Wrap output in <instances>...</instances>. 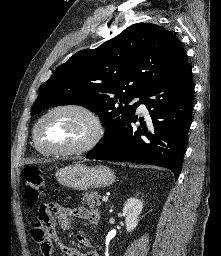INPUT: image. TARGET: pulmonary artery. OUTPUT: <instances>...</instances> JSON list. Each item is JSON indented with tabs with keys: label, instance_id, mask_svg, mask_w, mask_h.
Returning a JSON list of instances; mask_svg holds the SVG:
<instances>
[{
	"label": "pulmonary artery",
	"instance_id": "obj_1",
	"mask_svg": "<svg viewBox=\"0 0 221 256\" xmlns=\"http://www.w3.org/2000/svg\"><path fill=\"white\" fill-rule=\"evenodd\" d=\"M139 109H140L141 111H145V110H146V106H145V104H144L143 102L140 103Z\"/></svg>",
	"mask_w": 221,
	"mask_h": 256
}]
</instances>
